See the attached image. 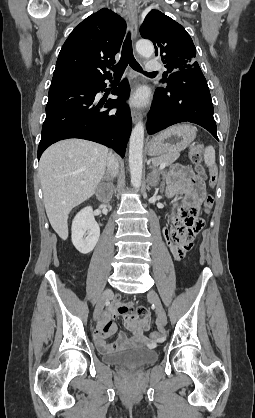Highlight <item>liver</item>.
Instances as JSON below:
<instances>
[{
    "instance_id": "6515ba94",
    "label": "liver",
    "mask_w": 255,
    "mask_h": 418,
    "mask_svg": "<svg viewBox=\"0 0 255 418\" xmlns=\"http://www.w3.org/2000/svg\"><path fill=\"white\" fill-rule=\"evenodd\" d=\"M108 149L82 139L50 146L39 162L44 205L49 222L63 240L68 238V215L89 199L103 178Z\"/></svg>"
}]
</instances>
